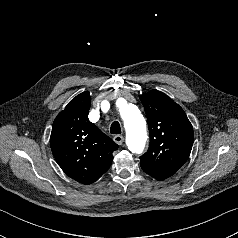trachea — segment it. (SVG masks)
I'll list each match as a JSON object with an SVG mask.
<instances>
[{
	"label": "trachea",
	"mask_w": 238,
	"mask_h": 238,
	"mask_svg": "<svg viewBox=\"0 0 238 238\" xmlns=\"http://www.w3.org/2000/svg\"><path fill=\"white\" fill-rule=\"evenodd\" d=\"M110 132H111V134H120L121 133V127H120L119 122L114 121L111 124Z\"/></svg>",
	"instance_id": "trachea-1"
}]
</instances>
